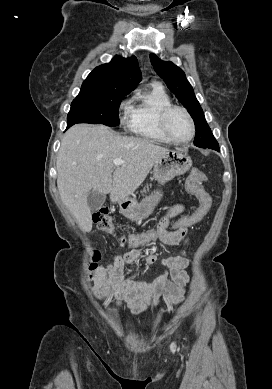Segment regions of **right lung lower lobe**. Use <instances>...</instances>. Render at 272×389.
I'll return each mask as SVG.
<instances>
[{
  "label": "right lung lower lobe",
  "instance_id": "obj_1",
  "mask_svg": "<svg viewBox=\"0 0 272 389\" xmlns=\"http://www.w3.org/2000/svg\"><path fill=\"white\" fill-rule=\"evenodd\" d=\"M70 127V125L67 124V129Z\"/></svg>",
  "mask_w": 272,
  "mask_h": 389
}]
</instances>
